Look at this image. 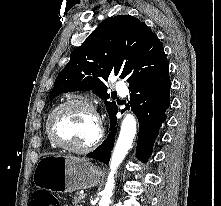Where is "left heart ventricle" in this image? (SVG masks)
<instances>
[{"mask_svg":"<svg viewBox=\"0 0 221 206\" xmlns=\"http://www.w3.org/2000/svg\"><path fill=\"white\" fill-rule=\"evenodd\" d=\"M53 130L60 141L80 148L89 145L94 140L97 123L87 108L72 105L55 116Z\"/></svg>","mask_w":221,"mask_h":206,"instance_id":"b2bd125f","label":"left heart ventricle"}]
</instances>
